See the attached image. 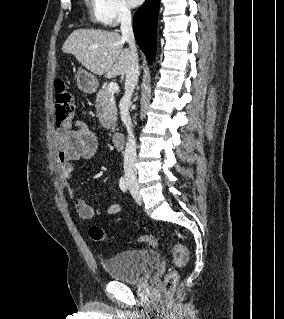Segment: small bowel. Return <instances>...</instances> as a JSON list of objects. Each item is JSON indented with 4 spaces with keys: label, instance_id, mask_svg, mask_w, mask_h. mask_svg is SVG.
Listing matches in <instances>:
<instances>
[{
    "label": "small bowel",
    "instance_id": "1",
    "mask_svg": "<svg viewBox=\"0 0 284 319\" xmlns=\"http://www.w3.org/2000/svg\"><path fill=\"white\" fill-rule=\"evenodd\" d=\"M55 141L61 177L69 184L73 173L72 162L93 158L98 152V140L85 122L76 120L73 124L59 127L55 133ZM74 205L78 216L83 220L93 219L98 213L96 208L82 198H77ZM120 209V205L113 202L107 206L106 212L113 216L118 214Z\"/></svg>",
    "mask_w": 284,
    "mask_h": 319
}]
</instances>
